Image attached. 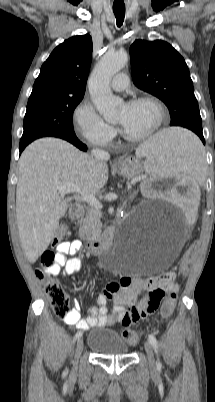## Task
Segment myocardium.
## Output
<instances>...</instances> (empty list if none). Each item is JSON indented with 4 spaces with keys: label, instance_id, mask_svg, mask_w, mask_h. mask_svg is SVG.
<instances>
[{
    "label": "myocardium",
    "instance_id": "myocardium-1",
    "mask_svg": "<svg viewBox=\"0 0 215 402\" xmlns=\"http://www.w3.org/2000/svg\"><path fill=\"white\" fill-rule=\"evenodd\" d=\"M142 102L150 103L155 107V109L157 111L156 123L152 127L151 130H149L145 134L138 135V136L128 135L122 129H120V134L126 141L136 143V142H142V141L148 140L151 137H153L161 129V127L163 125L166 112H165V108H164L163 104L156 97L149 96V95L138 96V97H134V98L128 100L126 102V104L134 105V104H138V103H142Z\"/></svg>",
    "mask_w": 215,
    "mask_h": 402
}]
</instances>
